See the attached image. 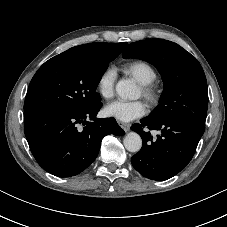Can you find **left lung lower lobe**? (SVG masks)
<instances>
[{
    "instance_id": "left-lung-lower-lobe-1",
    "label": "left lung lower lobe",
    "mask_w": 227,
    "mask_h": 227,
    "mask_svg": "<svg viewBox=\"0 0 227 227\" xmlns=\"http://www.w3.org/2000/svg\"><path fill=\"white\" fill-rule=\"evenodd\" d=\"M131 129L142 140L141 150L131 158L134 168L152 180H167L183 170L192 159L205 127L192 120L177 118L153 121L143 118ZM161 132L154 139L150 131Z\"/></svg>"
}]
</instances>
